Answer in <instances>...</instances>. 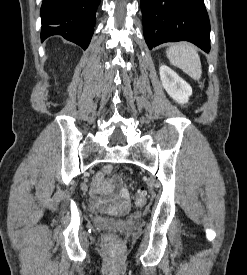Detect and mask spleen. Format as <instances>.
<instances>
[{"mask_svg":"<svg viewBox=\"0 0 247 275\" xmlns=\"http://www.w3.org/2000/svg\"><path fill=\"white\" fill-rule=\"evenodd\" d=\"M166 55L170 63L180 69L195 80H199L202 75L200 57L196 48L188 43L171 45L166 50Z\"/></svg>","mask_w":247,"mask_h":275,"instance_id":"3e777b00","label":"spleen"}]
</instances>
